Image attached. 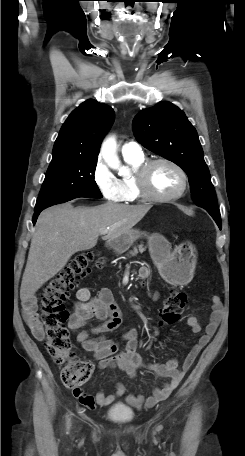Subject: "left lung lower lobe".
Segmentation results:
<instances>
[{"instance_id":"left-lung-lower-lobe-1","label":"left lung lower lobe","mask_w":245,"mask_h":456,"mask_svg":"<svg viewBox=\"0 0 245 456\" xmlns=\"http://www.w3.org/2000/svg\"><path fill=\"white\" fill-rule=\"evenodd\" d=\"M216 223L218 224L219 228L221 229V219H214Z\"/></svg>"}]
</instances>
